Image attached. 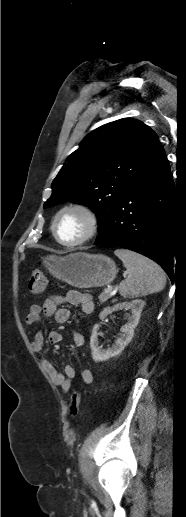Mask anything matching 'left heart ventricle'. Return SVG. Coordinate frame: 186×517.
Segmentation results:
<instances>
[{"instance_id": "obj_1", "label": "left heart ventricle", "mask_w": 186, "mask_h": 517, "mask_svg": "<svg viewBox=\"0 0 186 517\" xmlns=\"http://www.w3.org/2000/svg\"><path fill=\"white\" fill-rule=\"evenodd\" d=\"M86 227V221L81 214L66 212L58 219L56 232L62 241L72 242L83 235Z\"/></svg>"}]
</instances>
